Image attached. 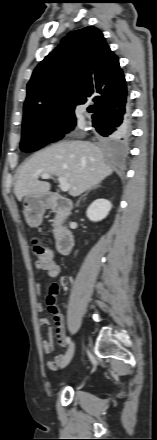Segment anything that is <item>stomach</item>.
I'll return each instance as SVG.
<instances>
[{
	"mask_svg": "<svg viewBox=\"0 0 157 440\" xmlns=\"http://www.w3.org/2000/svg\"><path fill=\"white\" fill-rule=\"evenodd\" d=\"M46 207L47 199L44 195H29L24 198L23 212L29 226L37 227L41 224Z\"/></svg>",
	"mask_w": 157,
	"mask_h": 440,
	"instance_id": "obj_1",
	"label": "stomach"
}]
</instances>
